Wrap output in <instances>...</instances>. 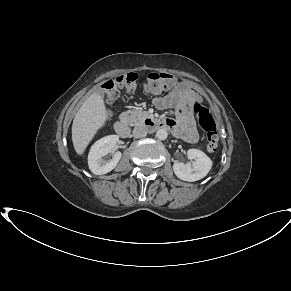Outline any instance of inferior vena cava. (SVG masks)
Segmentation results:
<instances>
[{"mask_svg": "<svg viewBox=\"0 0 291 291\" xmlns=\"http://www.w3.org/2000/svg\"><path fill=\"white\" fill-rule=\"evenodd\" d=\"M147 135V128L144 125H139L133 129V136L135 138H142Z\"/></svg>", "mask_w": 291, "mask_h": 291, "instance_id": "602c4592", "label": "inferior vena cava"}]
</instances>
